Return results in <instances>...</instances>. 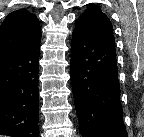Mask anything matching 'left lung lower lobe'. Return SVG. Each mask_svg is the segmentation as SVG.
Here are the masks:
<instances>
[{
    "label": "left lung lower lobe",
    "instance_id": "left-lung-lower-lobe-1",
    "mask_svg": "<svg viewBox=\"0 0 144 137\" xmlns=\"http://www.w3.org/2000/svg\"><path fill=\"white\" fill-rule=\"evenodd\" d=\"M114 42L76 23L71 45V81L83 137H127Z\"/></svg>",
    "mask_w": 144,
    "mask_h": 137
}]
</instances>
